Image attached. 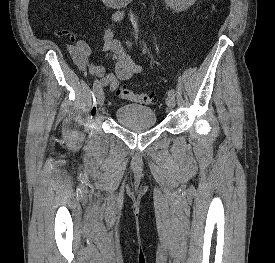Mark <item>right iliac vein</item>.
<instances>
[{
  "label": "right iliac vein",
  "mask_w": 275,
  "mask_h": 263,
  "mask_svg": "<svg viewBox=\"0 0 275 263\" xmlns=\"http://www.w3.org/2000/svg\"><path fill=\"white\" fill-rule=\"evenodd\" d=\"M96 97H97V103L99 105H102L105 99V95L102 89L97 92Z\"/></svg>",
  "instance_id": "right-iliac-vein-1"
}]
</instances>
